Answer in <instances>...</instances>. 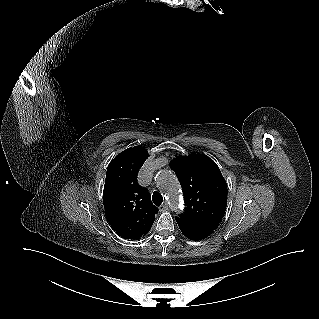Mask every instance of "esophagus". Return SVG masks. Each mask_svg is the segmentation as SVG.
I'll return each instance as SVG.
<instances>
[{
	"label": "esophagus",
	"mask_w": 319,
	"mask_h": 319,
	"mask_svg": "<svg viewBox=\"0 0 319 319\" xmlns=\"http://www.w3.org/2000/svg\"><path fill=\"white\" fill-rule=\"evenodd\" d=\"M168 210V204L167 202H163V204L161 206H159V211L163 212V211H166Z\"/></svg>",
	"instance_id": "esophagus-1"
}]
</instances>
